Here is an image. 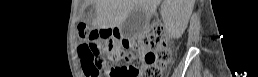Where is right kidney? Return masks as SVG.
<instances>
[{"mask_svg":"<svg viewBox=\"0 0 258 77\" xmlns=\"http://www.w3.org/2000/svg\"><path fill=\"white\" fill-rule=\"evenodd\" d=\"M168 10H171V8H167ZM169 31L173 37L179 38L186 27V24H183L180 20L179 16L170 18V21L168 23Z\"/></svg>","mask_w":258,"mask_h":77,"instance_id":"right-kidney-1","label":"right kidney"}]
</instances>
